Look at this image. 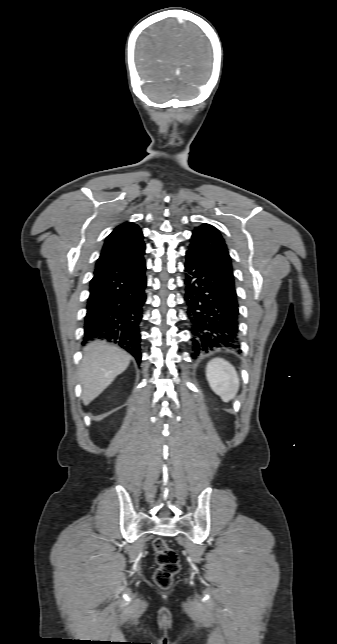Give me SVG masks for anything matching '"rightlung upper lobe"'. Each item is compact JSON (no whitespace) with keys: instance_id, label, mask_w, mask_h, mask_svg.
Returning <instances> with one entry per match:
<instances>
[{"instance_id":"right-lung-upper-lobe-1","label":"right lung upper lobe","mask_w":337,"mask_h":644,"mask_svg":"<svg viewBox=\"0 0 337 644\" xmlns=\"http://www.w3.org/2000/svg\"><path fill=\"white\" fill-rule=\"evenodd\" d=\"M145 253L143 234L138 225L125 222L106 238L95 273L108 267L139 260Z\"/></svg>"}]
</instances>
